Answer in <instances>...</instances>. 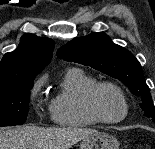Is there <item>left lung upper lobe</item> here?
I'll return each instance as SVG.
<instances>
[{"instance_id":"1","label":"left lung upper lobe","mask_w":155,"mask_h":149,"mask_svg":"<svg viewBox=\"0 0 155 149\" xmlns=\"http://www.w3.org/2000/svg\"><path fill=\"white\" fill-rule=\"evenodd\" d=\"M57 56L77 62L121 80L141 100L143 115L155 122V106L139 61L127 49L114 44L103 32L74 38L62 46Z\"/></svg>"}]
</instances>
